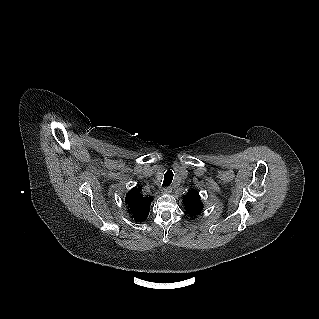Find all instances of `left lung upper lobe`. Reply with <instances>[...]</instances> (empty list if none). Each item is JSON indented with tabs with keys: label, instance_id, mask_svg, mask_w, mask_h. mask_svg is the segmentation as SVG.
Returning <instances> with one entry per match:
<instances>
[{
	"label": "left lung upper lobe",
	"instance_id": "left-lung-upper-lobe-1",
	"mask_svg": "<svg viewBox=\"0 0 319 319\" xmlns=\"http://www.w3.org/2000/svg\"><path fill=\"white\" fill-rule=\"evenodd\" d=\"M183 203L185 205L186 213L191 217L198 215L203 209L200 196L197 192H191L185 196Z\"/></svg>",
	"mask_w": 319,
	"mask_h": 319
}]
</instances>
